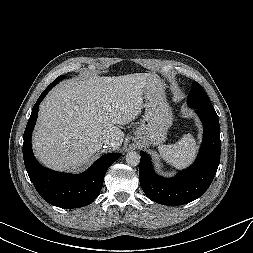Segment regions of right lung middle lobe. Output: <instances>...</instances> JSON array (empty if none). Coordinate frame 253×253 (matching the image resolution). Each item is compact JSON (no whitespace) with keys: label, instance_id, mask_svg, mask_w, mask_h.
Instances as JSON below:
<instances>
[{"label":"right lung middle lobe","instance_id":"dd1d6c3e","mask_svg":"<svg viewBox=\"0 0 253 253\" xmlns=\"http://www.w3.org/2000/svg\"><path fill=\"white\" fill-rule=\"evenodd\" d=\"M64 78H65V76H59V77H57L51 84L56 85L60 80H62V79H64Z\"/></svg>","mask_w":253,"mask_h":253}]
</instances>
